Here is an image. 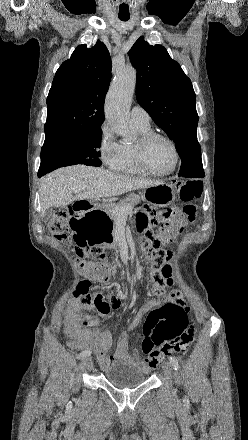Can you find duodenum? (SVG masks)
<instances>
[{
	"label": "duodenum",
	"instance_id": "obj_1",
	"mask_svg": "<svg viewBox=\"0 0 248 440\" xmlns=\"http://www.w3.org/2000/svg\"><path fill=\"white\" fill-rule=\"evenodd\" d=\"M75 205L78 206V207L87 206L88 209L91 208V202H90V201H87V200H80V201H77V202L75 203Z\"/></svg>",
	"mask_w": 248,
	"mask_h": 440
}]
</instances>
